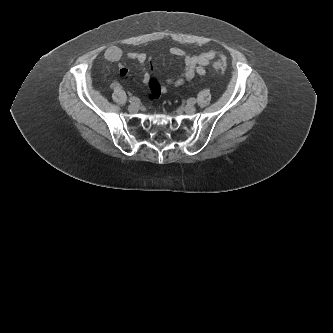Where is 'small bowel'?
Wrapping results in <instances>:
<instances>
[{
  "label": "small bowel",
  "instance_id": "1",
  "mask_svg": "<svg viewBox=\"0 0 333 333\" xmlns=\"http://www.w3.org/2000/svg\"><path fill=\"white\" fill-rule=\"evenodd\" d=\"M170 53L175 56L182 58L185 64L184 70L180 76L176 78H168L164 84L158 82L151 74V68L147 65L148 57L146 54L141 52H128L127 57L140 64L142 67V81L149 86L147 98L152 100L158 97L160 94H165L169 90V86L180 87L187 82L193 80L196 75L204 76L206 74V67L215 58L216 51L209 50L198 55H193L185 52L183 49L173 47L170 49ZM123 56V51L119 46H109L104 51V58L109 62H118ZM119 74L122 78H126L128 70L120 65ZM112 89H119L120 83L114 81L111 84Z\"/></svg>",
  "mask_w": 333,
  "mask_h": 333
}]
</instances>
